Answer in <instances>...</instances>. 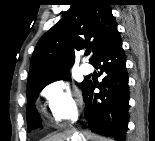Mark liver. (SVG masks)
I'll return each instance as SVG.
<instances>
[{"label": "liver", "mask_w": 155, "mask_h": 141, "mask_svg": "<svg viewBox=\"0 0 155 141\" xmlns=\"http://www.w3.org/2000/svg\"><path fill=\"white\" fill-rule=\"evenodd\" d=\"M84 135L86 136V139H90L92 141H112L109 138L100 137L96 134H92L89 131L85 132ZM82 137H83V135H78L75 131L68 130L63 133L53 135V136L49 137L48 139H46V141H77L74 139H81ZM70 139H72V140H70Z\"/></svg>", "instance_id": "1"}]
</instances>
